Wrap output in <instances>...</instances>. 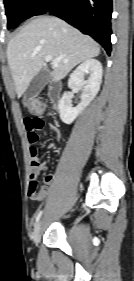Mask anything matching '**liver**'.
<instances>
[{
    "label": "liver",
    "instance_id": "6515ba94",
    "mask_svg": "<svg viewBox=\"0 0 134 281\" xmlns=\"http://www.w3.org/2000/svg\"><path fill=\"white\" fill-rule=\"evenodd\" d=\"M100 48L88 35L56 17L39 16L25 25L8 43L7 60L18 97L41 71L45 57L60 59L49 74L59 81L77 64L98 56Z\"/></svg>",
    "mask_w": 134,
    "mask_h": 281
}]
</instances>
